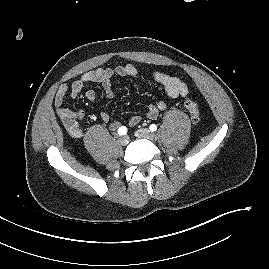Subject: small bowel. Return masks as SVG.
Wrapping results in <instances>:
<instances>
[{
    "mask_svg": "<svg viewBox=\"0 0 269 269\" xmlns=\"http://www.w3.org/2000/svg\"><path fill=\"white\" fill-rule=\"evenodd\" d=\"M139 74L138 68L134 64L119 65L113 69L111 68H98L82 74L78 79L68 86L62 84L55 95L54 104L57 115L64 123L68 133L74 138H80L83 135V128L79 123L85 116V112L81 109L72 110L65 107V98L69 93L72 98L78 96L83 88L89 83H100L103 87L106 97L112 98L114 91L112 89V78L119 77H136ZM152 78L162 86L165 93L170 98H183L189 93V89L185 82L180 78L168 75L160 71H152ZM86 98L89 102H94L96 93L93 90L86 92ZM167 108L165 101L159 100L155 104L149 105L147 109V116L150 119H155L158 114ZM100 119L108 123L110 116L107 112L100 113ZM141 120V117L134 115L129 119V125L135 126ZM121 124L117 121L110 123L109 128L111 131L119 129Z\"/></svg>",
    "mask_w": 269,
    "mask_h": 269,
    "instance_id": "c3829d8e",
    "label": "small bowel"
}]
</instances>
